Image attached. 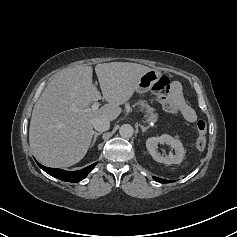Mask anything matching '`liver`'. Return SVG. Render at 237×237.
Instances as JSON below:
<instances>
[{
	"label": "liver",
	"mask_w": 237,
	"mask_h": 237,
	"mask_svg": "<svg viewBox=\"0 0 237 237\" xmlns=\"http://www.w3.org/2000/svg\"><path fill=\"white\" fill-rule=\"evenodd\" d=\"M151 68L129 62L97 64L95 72L108 104L96 111L88 109L101 99L93 84V68L79 65L60 71L48 83L34 105L29 144L37 159L50 167H69L87 153L93 131V121L104 117L115 120L120 105L133 95L140 77Z\"/></svg>",
	"instance_id": "obj_1"
}]
</instances>
